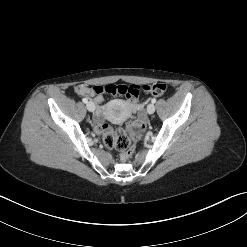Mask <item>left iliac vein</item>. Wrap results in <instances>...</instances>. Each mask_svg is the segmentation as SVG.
Instances as JSON below:
<instances>
[{
	"mask_svg": "<svg viewBox=\"0 0 247 247\" xmlns=\"http://www.w3.org/2000/svg\"><path fill=\"white\" fill-rule=\"evenodd\" d=\"M147 112L149 114H153L155 112V105L153 103L148 104V106H147Z\"/></svg>",
	"mask_w": 247,
	"mask_h": 247,
	"instance_id": "obj_1",
	"label": "left iliac vein"
}]
</instances>
